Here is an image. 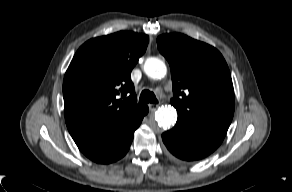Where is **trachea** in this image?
Returning a JSON list of instances; mask_svg holds the SVG:
<instances>
[{
  "instance_id": "1",
  "label": "trachea",
  "mask_w": 292,
  "mask_h": 192,
  "mask_svg": "<svg viewBox=\"0 0 292 192\" xmlns=\"http://www.w3.org/2000/svg\"><path fill=\"white\" fill-rule=\"evenodd\" d=\"M139 103L157 104L158 100L153 92L149 90H143L140 94Z\"/></svg>"
}]
</instances>
